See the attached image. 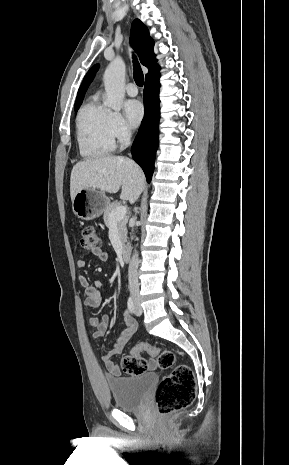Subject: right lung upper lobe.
Instances as JSON below:
<instances>
[{"mask_svg": "<svg viewBox=\"0 0 289 465\" xmlns=\"http://www.w3.org/2000/svg\"><path fill=\"white\" fill-rule=\"evenodd\" d=\"M131 44L138 53L142 65L149 69L145 80L159 76V66L156 64L154 54V41L149 35L148 28L138 19L134 20L131 27ZM98 65L93 66L85 75L79 88L76 102L82 101L89 84L94 79Z\"/></svg>", "mask_w": 289, "mask_h": 465, "instance_id": "1", "label": "right lung upper lobe"}]
</instances>
